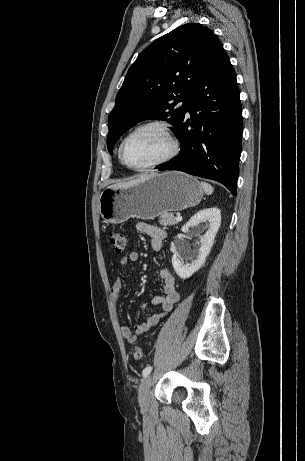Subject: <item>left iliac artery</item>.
Wrapping results in <instances>:
<instances>
[{"label":"left iliac artery","instance_id":"obj_1","mask_svg":"<svg viewBox=\"0 0 305 461\" xmlns=\"http://www.w3.org/2000/svg\"><path fill=\"white\" fill-rule=\"evenodd\" d=\"M151 370H152V367H151V366H147V367L143 370V372H142L143 377L148 376V375L150 374Z\"/></svg>","mask_w":305,"mask_h":461}]
</instances>
